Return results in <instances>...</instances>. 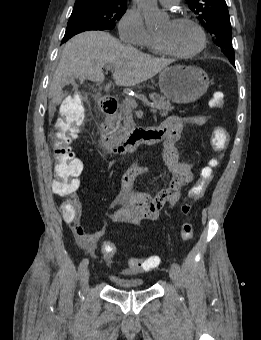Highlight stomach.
Here are the masks:
<instances>
[{"mask_svg": "<svg viewBox=\"0 0 261 340\" xmlns=\"http://www.w3.org/2000/svg\"><path fill=\"white\" fill-rule=\"evenodd\" d=\"M206 72L192 66H170L159 74V87L163 95L179 104L193 103L209 88Z\"/></svg>", "mask_w": 261, "mask_h": 340, "instance_id": "stomach-1", "label": "stomach"}]
</instances>
